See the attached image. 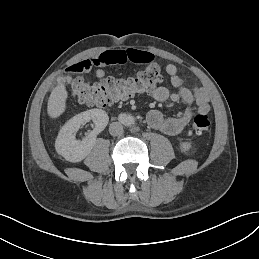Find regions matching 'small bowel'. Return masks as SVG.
Listing matches in <instances>:
<instances>
[{
	"mask_svg": "<svg viewBox=\"0 0 259 259\" xmlns=\"http://www.w3.org/2000/svg\"><path fill=\"white\" fill-rule=\"evenodd\" d=\"M153 55L146 51L128 49V50H109L92 58L85 59L73 64L69 70L72 72H88L93 68L95 75L98 78H105L106 72L102 69L107 65L125 64L134 62L139 64L151 63ZM171 84L176 89L170 92L164 86L156 87L151 91V96L160 102L171 100L172 102H183L187 105L184 112L176 117H165L158 110H150L146 120L148 125L166 135L174 136L183 131L196 114H207L210 110L208 92L198 86H191L178 75L177 67L173 64H168L165 67Z\"/></svg>",
	"mask_w": 259,
	"mask_h": 259,
	"instance_id": "small-bowel-1",
	"label": "small bowel"
}]
</instances>
